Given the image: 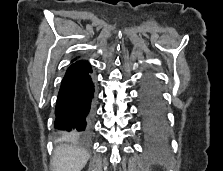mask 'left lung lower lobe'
Returning <instances> with one entry per match:
<instances>
[{"label": "left lung lower lobe", "mask_w": 223, "mask_h": 171, "mask_svg": "<svg viewBox=\"0 0 223 171\" xmlns=\"http://www.w3.org/2000/svg\"><path fill=\"white\" fill-rule=\"evenodd\" d=\"M143 133L150 142H161L168 134L164 110L157 89L150 78L143 81L139 97Z\"/></svg>", "instance_id": "left-lung-lower-lobe-1"}]
</instances>
